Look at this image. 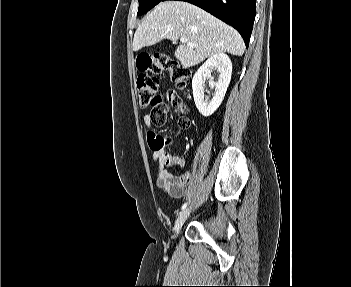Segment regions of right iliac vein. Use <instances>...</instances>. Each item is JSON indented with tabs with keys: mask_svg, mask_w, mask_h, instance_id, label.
<instances>
[{
	"mask_svg": "<svg viewBox=\"0 0 351 287\" xmlns=\"http://www.w3.org/2000/svg\"><path fill=\"white\" fill-rule=\"evenodd\" d=\"M189 213H190V209L187 208V209L183 210L180 213V215L178 216V218L175 222V225H174V229H173L175 237L179 235L183 224L185 223L187 217L189 216Z\"/></svg>",
	"mask_w": 351,
	"mask_h": 287,
	"instance_id": "63e3f726",
	"label": "right iliac vein"
}]
</instances>
